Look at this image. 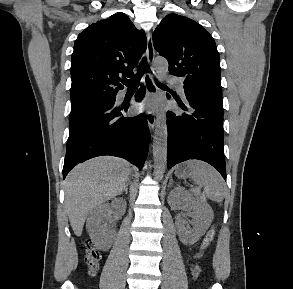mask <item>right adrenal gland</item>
Here are the masks:
<instances>
[{
	"mask_svg": "<svg viewBox=\"0 0 293 289\" xmlns=\"http://www.w3.org/2000/svg\"><path fill=\"white\" fill-rule=\"evenodd\" d=\"M123 192H125L126 194H128V186H126V187L124 188V190H123L120 194H122Z\"/></svg>",
	"mask_w": 293,
	"mask_h": 289,
	"instance_id": "right-adrenal-gland-1",
	"label": "right adrenal gland"
}]
</instances>
